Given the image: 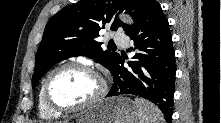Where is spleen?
<instances>
[{"instance_id":"1","label":"spleen","mask_w":221,"mask_h":123,"mask_svg":"<svg viewBox=\"0 0 221 123\" xmlns=\"http://www.w3.org/2000/svg\"><path fill=\"white\" fill-rule=\"evenodd\" d=\"M135 102L139 113V123H164L161 111L153 103L142 98H136Z\"/></svg>"}]
</instances>
